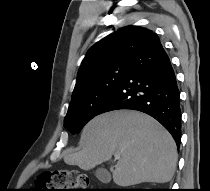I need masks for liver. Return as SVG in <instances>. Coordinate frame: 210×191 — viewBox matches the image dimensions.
<instances>
[{
	"mask_svg": "<svg viewBox=\"0 0 210 191\" xmlns=\"http://www.w3.org/2000/svg\"><path fill=\"white\" fill-rule=\"evenodd\" d=\"M81 150L64 161L90 170L120 154L113 181L121 187L143 182L166 183L175 172L177 149L170 133L152 117L132 110L96 116L84 127Z\"/></svg>",
	"mask_w": 210,
	"mask_h": 191,
	"instance_id": "liver-1",
	"label": "liver"
}]
</instances>
